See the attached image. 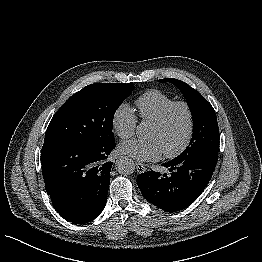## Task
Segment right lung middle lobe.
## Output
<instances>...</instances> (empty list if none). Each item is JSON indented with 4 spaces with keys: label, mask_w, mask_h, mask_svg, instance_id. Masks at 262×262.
Instances as JSON below:
<instances>
[{
    "label": "right lung middle lobe",
    "mask_w": 262,
    "mask_h": 262,
    "mask_svg": "<svg viewBox=\"0 0 262 262\" xmlns=\"http://www.w3.org/2000/svg\"><path fill=\"white\" fill-rule=\"evenodd\" d=\"M134 88L133 83H96L84 87L53 116L44 143L104 144L115 141L114 114Z\"/></svg>",
    "instance_id": "obj_1"
}]
</instances>
